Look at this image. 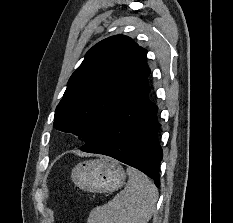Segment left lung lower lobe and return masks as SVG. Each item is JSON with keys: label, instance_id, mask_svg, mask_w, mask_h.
I'll use <instances>...</instances> for the list:
<instances>
[{"label": "left lung lower lobe", "instance_id": "1", "mask_svg": "<svg viewBox=\"0 0 233 223\" xmlns=\"http://www.w3.org/2000/svg\"><path fill=\"white\" fill-rule=\"evenodd\" d=\"M146 80L128 101L108 120L97 135L80 149L111 156L159 181V165L163 156L157 138L160 125L158 107L149 99Z\"/></svg>", "mask_w": 233, "mask_h": 223}]
</instances>
